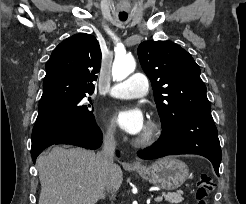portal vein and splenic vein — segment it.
I'll list each match as a JSON object with an SVG mask.
<instances>
[{
    "mask_svg": "<svg viewBox=\"0 0 246 204\" xmlns=\"http://www.w3.org/2000/svg\"><path fill=\"white\" fill-rule=\"evenodd\" d=\"M162 199H163L162 196H158V197L155 198V201H156V202H160V201H162Z\"/></svg>",
    "mask_w": 246,
    "mask_h": 204,
    "instance_id": "1",
    "label": "portal vein and splenic vein"
}]
</instances>
